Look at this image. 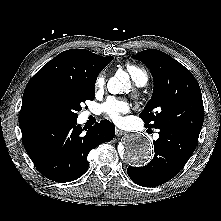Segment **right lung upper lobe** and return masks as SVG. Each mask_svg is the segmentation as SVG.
Returning <instances> with one entry per match:
<instances>
[{
    "label": "right lung upper lobe",
    "instance_id": "right-lung-upper-lobe-1",
    "mask_svg": "<svg viewBox=\"0 0 221 221\" xmlns=\"http://www.w3.org/2000/svg\"><path fill=\"white\" fill-rule=\"evenodd\" d=\"M113 57H102L85 49L66 50L45 64L27 84L20 111V123L30 118V101L47 88L89 86L96 82L99 72Z\"/></svg>",
    "mask_w": 221,
    "mask_h": 221
}]
</instances>
